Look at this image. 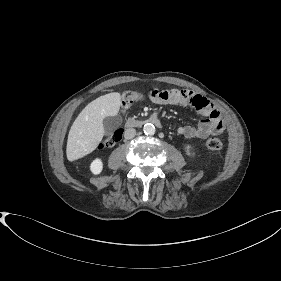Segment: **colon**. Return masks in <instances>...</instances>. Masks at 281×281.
Masks as SVG:
<instances>
[{"instance_id":"colon-1","label":"colon","mask_w":281,"mask_h":281,"mask_svg":"<svg viewBox=\"0 0 281 281\" xmlns=\"http://www.w3.org/2000/svg\"><path fill=\"white\" fill-rule=\"evenodd\" d=\"M145 95L137 91H128L122 95L121 106L123 109L129 108L134 102L144 99ZM122 138V131L118 130L114 134L108 136L102 143L99 144L98 148L103 149L115 145ZM205 146L213 151H219L223 149L224 144L218 138H210L206 141Z\"/></svg>"}]
</instances>
